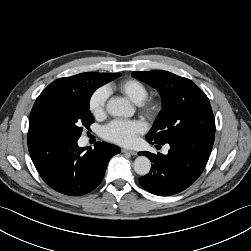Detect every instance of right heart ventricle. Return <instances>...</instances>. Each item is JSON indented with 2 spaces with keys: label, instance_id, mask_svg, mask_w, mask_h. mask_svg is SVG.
Returning a JSON list of instances; mask_svg holds the SVG:
<instances>
[{
  "label": "right heart ventricle",
  "instance_id": "right-heart-ventricle-1",
  "mask_svg": "<svg viewBox=\"0 0 251 251\" xmlns=\"http://www.w3.org/2000/svg\"><path fill=\"white\" fill-rule=\"evenodd\" d=\"M115 88L136 104L144 101L149 93L144 83L133 78L120 81Z\"/></svg>",
  "mask_w": 251,
  "mask_h": 251
}]
</instances>
